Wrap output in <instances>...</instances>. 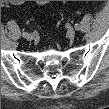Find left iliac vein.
<instances>
[{
    "instance_id": "left-iliac-vein-1",
    "label": "left iliac vein",
    "mask_w": 109,
    "mask_h": 109,
    "mask_svg": "<svg viewBox=\"0 0 109 109\" xmlns=\"http://www.w3.org/2000/svg\"><path fill=\"white\" fill-rule=\"evenodd\" d=\"M67 35L70 38H74V36H75V29L73 27H68V29H67Z\"/></svg>"
}]
</instances>
